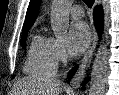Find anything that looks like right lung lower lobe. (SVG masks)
I'll use <instances>...</instances> for the list:
<instances>
[{"mask_svg":"<svg viewBox=\"0 0 119 95\" xmlns=\"http://www.w3.org/2000/svg\"><path fill=\"white\" fill-rule=\"evenodd\" d=\"M94 22L97 30L101 32L102 27H103V11L101 7H96L94 10ZM77 67H74L68 74V77H72L74 73L76 72ZM84 89V87H83Z\"/></svg>","mask_w":119,"mask_h":95,"instance_id":"1","label":"right lung lower lobe"}]
</instances>
